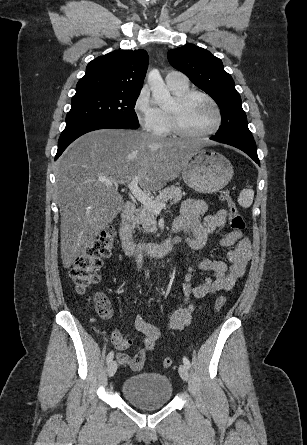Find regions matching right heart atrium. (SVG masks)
<instances>
[{
	"label": "right heart atrium",
	"mask_w": 307,
	"mask_h": 445,
	"mask_svg": "<svg viewBox=\"0 0 307 445\" xmlns=\"http://www.w3.org/2000/svg\"><path fill=\"white\" fill-rule=\"evenodd\" d=\"M133 114L141 128L151 134L160 131L161 112L150 91L143 87L133 102Z\"/></svg>",
	"instance_id": "right-heart-atrium-1"
}]
</instances>
